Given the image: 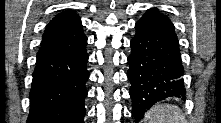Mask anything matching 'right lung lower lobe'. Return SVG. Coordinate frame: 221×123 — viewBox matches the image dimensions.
I'll return each mask as SVG.
<instances>
[{
  "label": "right lung lower lobe",
  "mask_w": 221,
  "mask_h": 123,
  "mask_svg": "<svg viewBox=\"0 0 221 123\" xmlns=\"http://www.w3.org/2000/svg\"><path fill=\"white\" fill-rule=\"evenodd\" d=\"M87 37L42 44L30 91L28 123H84Z\"/></svg>",
  "instance_id": "1"
}]
</instances>
